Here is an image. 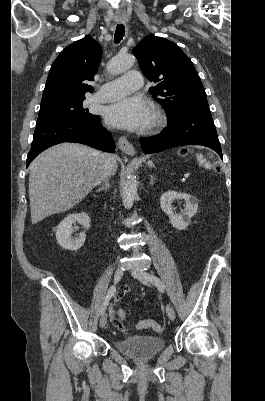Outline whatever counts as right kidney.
<instances>
[{"label": "right kidney", "mask_w": 265, "mask_h": 401, "mask_svg": "<svg viewBox=\"0 0 265 401\" xmlns=\"http://www.w3.org/2000/svg\"><path fill=\"white\" fill-rule=\"evenodd\" d=\"M73 223H80L84 229H90V217L86 213H77V215H68L56 229V239L63 249H69V251H77L81 249L85 243L86 231L79 233L77 239L71 237L73 233Z\"/></svg>", "instance_id": "obj_1"}]
</instances>
